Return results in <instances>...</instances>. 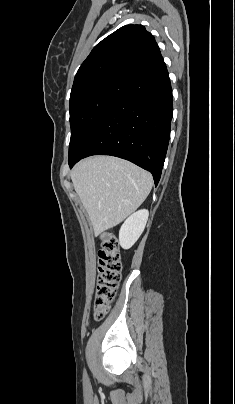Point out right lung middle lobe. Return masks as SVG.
<instances>
[{"label": "right lung middle lobe", "mask_w": 235, "mask_h": 404, "mask_svg": "<svg viewBox=\"0 0 235 404\" xmlns=\"http://www.w3.org/2000/svg\"><path fill=\"white\" fill-rule=\"evenodd\" d=\"M125 82H104L86 87L70 97L71 139L69 155L98 120L120 99Z\"/></svg>", "instance_id": "right-lung-middle-lobe-1"}]
</instances>
